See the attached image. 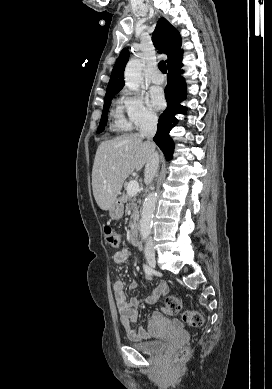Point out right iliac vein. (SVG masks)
Listing matches in <instances>:
<instances>
[{
	"label": "right iliac vein",
	"instance_id": "obj_1",
	"mask_svg": "<svg viewBox=\"0 0 272 389\" xmlns=\"http://www.w3.org/2000/svg\"><path fill=\"white\" fill-rule=\"evenodd\" d=\"M146 259L148 264L155 268L156 267V258H155V253L147 252L146 253Z\"/></svg>",
	"mask_w": 272,
	"mask_h": 389
}]
</instances>
